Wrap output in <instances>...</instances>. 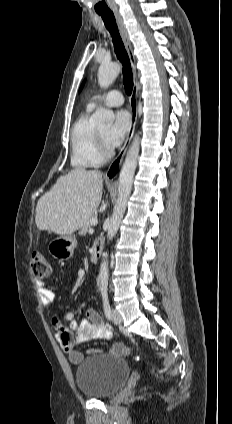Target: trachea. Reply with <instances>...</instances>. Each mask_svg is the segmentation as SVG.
I'll return each instance as SVG.
<instances>
[{
	"mask_svg": "<svg viewBox=\"0 0 232 424\" xmlns=\"http://www.w3.org/2000/svg\"><path fill=\"white\" fill-rule=\"evenodd\" d=\"M98 14L102 17L106 28L109 30L113 38L115 53L123 65L124 88L126 93L130 95L133 90V74H132L130 60L126 52V49L124 47V44L122 42V39L120 37L119 31L117 29L114 15L111 12H100Z\"/></svg>",
	"mask_w": 232,
	"mask_h": 424,
	"instance_id": "obj_1",
	"label": "trachea"
}]
</instances>
